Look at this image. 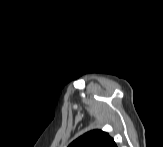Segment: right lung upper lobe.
Segmentation results:
<instances>
[{"mask_svg":"<svg viewBox=\"0 0 163 147\" xmlns=\"http://www.w3.org/2000/svg\"><path fill=\"white\" fill-rule=\"evenodd\" d=\"M69 147H116V144L106 132L92 130L77 138Z\"/></svg>","mask_w":163,"mask_h":147,"instance_id":"right-lung-upper-lobe-1","label":"right lung upper lobe"}]
</instances>
